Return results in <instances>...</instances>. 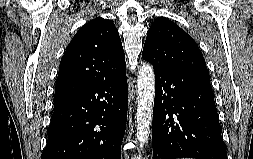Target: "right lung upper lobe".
<instances>
[{
	"mask_svg": "<svg viewBox=\"0 0 253 159\" xmlns=\"http://www.w3.org/2000/svg\"><path fill=\"white\" fill-rule=\"evenodd\" d=\"M126 69L119 33L109 19L85 24L68 45L59 66L54 107Z\"/></svg>",
	"mask_w": 253,
	"mask_h": 159,
	"instance_id": "right-lung-upper-lobe-1",
	"label": "right lung upper lobe"
}]
</instances>
